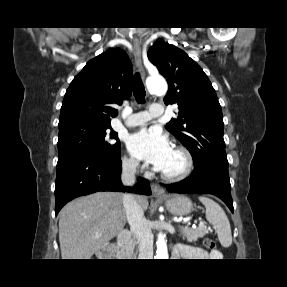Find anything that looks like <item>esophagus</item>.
<instances>
[{"mask_svg":"<svg viewBox=\"0 0 287 287\" xmlns=\"http://www.w3.org/2000/svg\"><path fill=\"white\" fill-rule=\"evenodd\" d=\"M133 49H134V56L136 60V67L138 69V72L141 74V76L144 77L145 70L142 65V60H141V42L137 38L133 39ZM151 190L154 196L164 195V190L156 183L151 184Z\"/></svg>","mask_w":287,"mask_h":287,"instance_id":"obj_1","label":"esophagus"}]
</instances>
